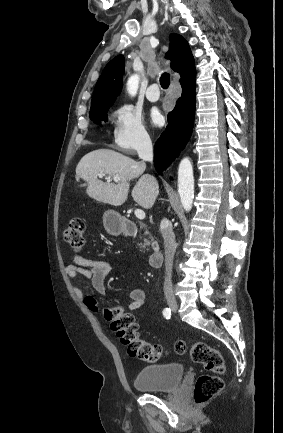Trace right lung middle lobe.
<instances>
[{
    "mask_svg": "<svg viewBox=\"0 0 283 433\" xmlns=\"http://www.w3.org/2000/svg\"><path fill=\"white\" fill-rule=\"evenodd\" d=\"M111 106L112 105H109V106L102 107V108H99L97 110H94V111L90 112V119L92 121H94L95 123H97V124L101 123L100 120L106 121L107 120V118H106L107 111L109 110V108Z\"/></svg>",
    "mask_w": 283,
    "mask_h": 433,
    "instance_id": "right-lung-middle-lobe-1",
    "label": "right lung middle lobe"
}]
</instances>
